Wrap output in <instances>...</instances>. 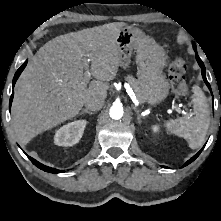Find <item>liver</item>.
I'll list each match as a JSON object with an SVG mask.
<instances>
[{
  "mask_svg": "<svg viewBox=\"0 0 221 221\" xmlns=\"http://www.w3.org/2000/svg\"><path fill=\"white\" fill-rule=\"evenodd\" d=\"M125 23H109L60 35L31 58L17 82L13 127L20 143L75 117L85 101L106 98L120 62L117 37ZM87 56L95 80L85 77Z\"/></svg>",
  "mask_w": 221,
  "mask_h": 221,
  "instance_id": "6515ba94",
  "label": "liver"
}]
</instances>
